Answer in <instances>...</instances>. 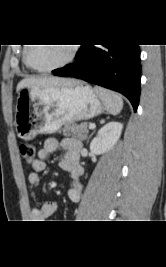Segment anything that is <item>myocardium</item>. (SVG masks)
Masks as SVG:
<instances>
[{
    "label": "myocardium",
    "mask_w": 166,
    "mask_h": 267,
    "mask_svg": "<svg viewBox=\"0 0 166 267\" xmlns=\"http://www.w3.org/2000/svg\"><path fill=\"white\" fill-rule=\"evenodd\" d=\"M32 44H28L25 49H24V53H23V60L26 64V66L35 71V72H40V73H46V72H51V71H55L57 69L63 68L65 66H67L69 63L72 62V60L74 59L76 53H77V48L76 46H74L73 44H70L69 46V54L67 56V58L62 61L61 63L48 67V68H37L34 67L33 65L30 64L29 59H28V55H29V49L31 48Z\"/></svg>",
    "instance_id": "1"
}]
</instances>
